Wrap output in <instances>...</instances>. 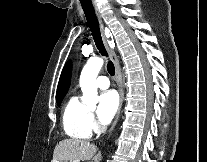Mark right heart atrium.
I'll return each mask as SVG.
<instances>
[{
	"instance_id": "right-heart-atrium-1",
	"label": "right heart atrium",
	"mask_w": 207,
	"mask_h": 162,
	"mask_svg": "<svg viewBox=\"0 0 207 162\" xmlns=\"http://www.w3.org/2000/svg\"><path fill=\"white\" fill-rule=\"evenodd\" d=\"M89 123H90L92 130L95 131L97 129V123L92 113L89 114Z\"/></svg>"
}]
</instances>
